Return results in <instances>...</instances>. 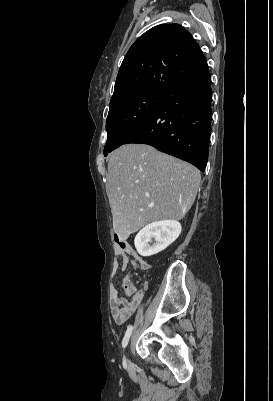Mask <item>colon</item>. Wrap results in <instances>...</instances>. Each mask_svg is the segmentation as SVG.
Returning a JSON list of instances; mask_svg holds the SVG:
<instances>
[{"label": "colon", "mask_w": 273, "mask_h": 401, "mask_svg": "<svg viewBox=\"0 0 273 401\" xmlns=\"http://www.w3.org/2000/svg\"><path fill=\"white\" fill-rule=\"evenodd\" d=\"M118 256L119 257H124L125 256V251L124 250H119L118 251ZM138 273L141 276L146 275L147 270L150 269L151 264L149 261H142L140 264ZM126 268H131V263H126ZM136 291V286L133 284V280H127V284H121L119 288L114 289V296L115 297H124L125 293H134Z\"/></svg>", "instance_id": "5ec220e1"}]
</instances>
